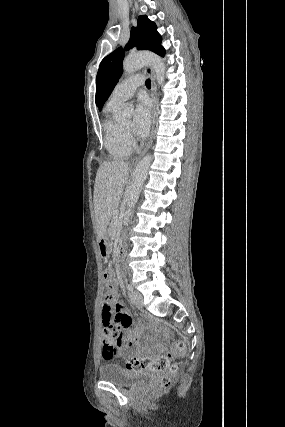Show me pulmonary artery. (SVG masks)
I'll list each match as a JSON object with an SVG mask.
<instances>
[{
	"instance_id": "obj_1",
	"label": "pulmonary artery",
	"mask_w": 285,
	"mask_h": 427,
	"mask_svg": "<svg viewBox=\"0 0 285 427\" xmlns=\"http://www.w3.org/2000/svg\"><path fill=\"white\" fill-rule=\"evenodd\" d=\"M143 84V78L140 75H134L123 80L115 87L109 97V102L112 104L120 105L124 101L133 97L137 91L138 86Z\"/></svg>"
}]
</instances>
